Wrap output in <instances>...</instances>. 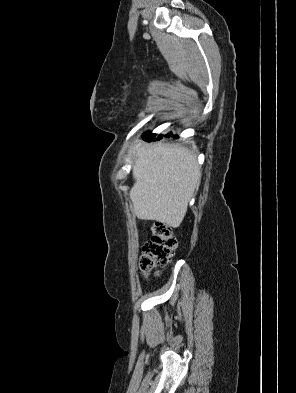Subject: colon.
I'll use <instances>...</instances> for the list:
<instances>
[{
    "label": "colon",
    "instance_id": "1",
    "mask_svg": "<svg viewBox=\"0 0 296 393\" xmlns=\"http://www.w3.org/2000/svg\"><path fill=\"white\" fill-rule=\"evenodd\" d=\"M177 240L170 226L163 222L152 225V236L146 241L139 261L141 270L149 274L157 267L165 266L171 260Z\"/></svg>",
    "mask_w": 296,
    "mask_h": 393
}]
</instances>
